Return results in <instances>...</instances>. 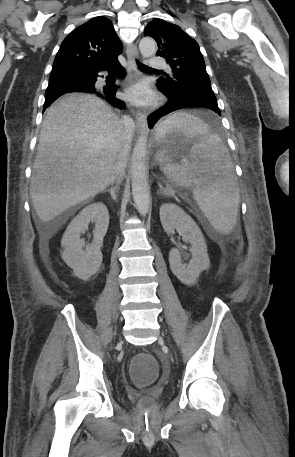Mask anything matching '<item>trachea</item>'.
Segmentation results:
<instances>
[{
  "label": "trachea",
  "mask_w": 295,
  "mask_h": 457,
  "mask_svg": "<svg viewBox=\"0 0 295 457\" xmlns=\"http://www.w3.org/2000/svg\"><path fill=\"white\" fill-rule=\"evenodd\" d=\"M137 65H138L139 69H141V70H154V69L150 68L147 65H144L143 63H141L139 61H137Z\"/></svg>",
  "instance_id": "obj_1"
}]
</instances>
